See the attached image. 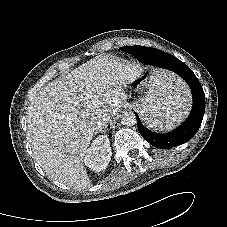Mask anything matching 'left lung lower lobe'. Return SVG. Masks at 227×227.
I'll list each match as a JSON object with an SVG mask.
<instances>
[{
    "mask_svg": "<svg viewBox=\"0 0 227 227\" xmlns=\"http://www.w3.org/2000/svg\"><path fill=\"white\" fill-rule=\"evenodd\" d=\"M140 62L166 68L180 75L191 88L193 107L188 119L176 130L167 134H157L145 128L138 117L137 127L142 137L156 148H172L188 142L198 131L205 112V94L191 69L176 57L155 48L131 46L128 50Z\"/></svg>",
    "mask_w": 227,
    "mask_h": 227,
    "instance_id": "0a47b994",
    "label": "left lung lower lobe"
}]
</instances>
